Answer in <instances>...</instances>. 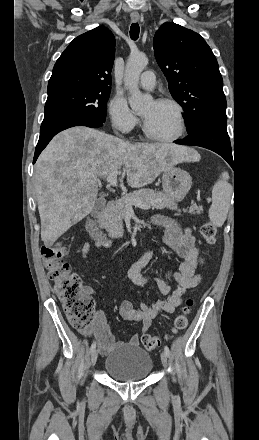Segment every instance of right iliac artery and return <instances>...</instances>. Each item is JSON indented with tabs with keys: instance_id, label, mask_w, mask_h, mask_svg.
Masks as SVG:
<instances>
[{
	"instance_id": "1",
	"label": "right iliac artery",
	"mask_w": 259,
	"mask_h": 440,
	"mask_svg": "<svg viewBox=\"0 0 259 440\" xmlns=\"http://www.w3.org/2000/svg\"><path fill=\"white\" fill-rule=\"evenodd\" d=\"M95 347H96V343L93 342L92 345H91V347H90V352H91V353L95 350Z\"/></svg>"
}]
</instances>
